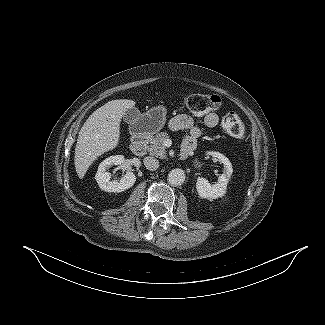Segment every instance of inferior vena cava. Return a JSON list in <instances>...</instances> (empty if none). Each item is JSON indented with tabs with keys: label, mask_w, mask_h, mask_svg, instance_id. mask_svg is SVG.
<instances>
[{
	"label": "inferior vena cava",
	"mask_w": 325,
	"mask_h": 325,
	"mask_svg": "<svg viewBox=\"0 0 325 325\" xmlns=\"http://www.w3.org/2000/svg\"><path fill=\"white\" fill-rule=\"evenodd\" d=\"M144 165L148 170L154 171L159 168V161L154 157L148 156L144 158Z\"/></svg>",
	"instance_id": "obj_1"
}]
</instances>
